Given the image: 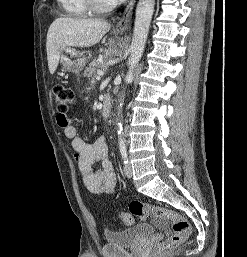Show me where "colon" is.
Segmentation results:
<instances>
[{
	"label": "colon",
	"mask_w": 247,
	"mask_h": 257,
	"mask_svg": "<svg viewBox=\"0 0 247 257\" xmlns=\"http://www.w3.org/2000/svg\"><path fill=\"white\" fill-rule=\"evenodd\" d=\"M54 94L58 115L62 116L64 123H66L67 113L75 101L74 92L70 87L58 84L54 88ZM150 215L158 220L171 222L172 234L162 242V252H168L180 246L191 232V226L183 215L164 207L149 205L137 200L129 204L128 213H120L118 217L123 224L131 225L134 222V217L146 219Z\"/></svg>",
	"instance_id": "1"
}]
</instances>
